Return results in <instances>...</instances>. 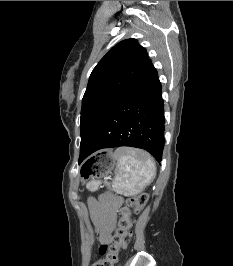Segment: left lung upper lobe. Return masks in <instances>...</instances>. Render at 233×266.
<instances>
[{
    "mask_svg": "<svg viewBox=\"0 0 233 266\" xmlns=\"http://www.w3.org/2000/svg\"><path fill=\"white\" fill-rule=\"evenodd\" d=\"M148 61L146 49L136 39H126L116 44L93 69L82 99L80 151Z\"/></svg>",
    "mask_w": 233,
    "mask_h": 266,
    "instance_id": "left-lung-upper-lobe-1",
    "label": "left lung upper lobe"
}]
</instances>
